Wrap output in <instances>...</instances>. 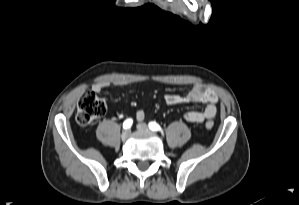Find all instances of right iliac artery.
I'll return each mask as SVG.
<instances>
[{
	"label": "right iliac artery",
	"mask_w": 299,
	"mask_h": 205,
	"mask_svg": "<svg viewBox=\"0 0 299 205\" xmlns=\"http://www.w3.org/2000/svg\"><path fill=\"white\" fill-rule=\"evenodd\" d=\"M133 120L131 118L127 119L123 123L124 129H129L132 126Z\"/></svg>",
	"instance_id": "1"
}]
</instances>
